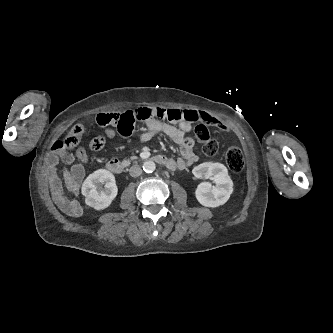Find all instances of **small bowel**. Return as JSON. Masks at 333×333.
<instances>
[{
    "instance_id": "small-bowel-1",
    "label": "small bowel",
    "mask_w": 333,
    "mask_h": 333,
    "mask_svg": "<svg viewBox=\"0 0 333 333\" xmlns=\"http://www.w3.org/2000/svg\"><path fill=\"white\" fill-rule=\"evenodd\" d=\"M142 108L145 110L146 115L144 118L139 119L136 117L135 112L137 109ZM129 111H126L130 128L122 132H119L123 136H129L133 129L135 122H143L145 124V131L141 134L140 139L147 141L158 133H164L169 136L176 144L180 146V152L182 157L177 160L167 159L166 166L171 169H184L187 164H193L198 160L197 155L193 151L194 140L192 137L187 136V133L191 131L192 124L204 123L211 126H216L218 129L230 131L221 120H217L207 112L199 110H186L179 108H163V107H139ZM106 134L109 137H114L116 131L108 128ZM51 164L49 167V185L52 196L56 204L64 211L75 215L78 209L75 207L72 201H70L64 194L62 189V183L57 172L58 156L54 153L51 154ZM77 159L80 162L85 163L87 156L83 151L77 153ZM61 161L66 164H70L74 161L72 155L64 153L61 155ZM73 176L75 179H80L83 176V168L80 165H76L73 169Z\"/></svg>"
}]
</instances>
